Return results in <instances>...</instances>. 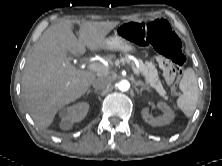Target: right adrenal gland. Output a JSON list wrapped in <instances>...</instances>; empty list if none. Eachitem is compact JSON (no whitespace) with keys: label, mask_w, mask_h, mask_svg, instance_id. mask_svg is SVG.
<instances>
[{"label":"right adrenal gland","mask_w":222,"mask_h":166,"mask_svg":"<svg viewBox=\"0 0 222 166\" xmlns=\"http://www.w3.org/2000/svg\"><path fill=\"white\" fill-rule=\"evenodd\" d=\"M91 91H92L91 89H88L87 94H89Z\"/></svg>","instance_id":"2a0ac1e0"}]
</instances>
